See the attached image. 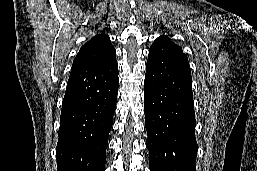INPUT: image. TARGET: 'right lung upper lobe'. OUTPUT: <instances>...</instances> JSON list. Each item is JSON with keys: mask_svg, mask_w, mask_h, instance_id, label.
Wrapping results in <instances>:
<instances>
[{"mask_svg": "<svg viewBox=\"0 0 257 171\" xmlns=\"http://www.w3.org/2000/svg\"><path fill=\"white\" fill-rule=\"evenodd\" d=\"M116 58V51L108 35L102 33L92 37L76 55L72 69L94 67L109 63Z\"/></svg>", "mask_w": 257, "mask_h": 171, "instance_id": "right-lung-upper-lobe-1", "label": "right lung upper lobe"}]
</instances>
